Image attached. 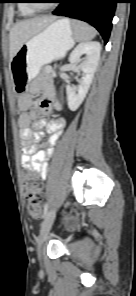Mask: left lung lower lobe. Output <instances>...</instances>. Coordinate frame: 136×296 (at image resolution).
Instances as JSON below:
<instances>
[{"instance_id": "obj_1", "label": "left lung lower lobe", "mask_w": 136, "mask_h": 296, "mask_svg": "<svg viewBox=\"0 0 136 296\" xmlns=\"http://www.w3.org/2000/svg\"><path fill=\"white\" fill-rule=\"evenodd\" d=\"M119 0H61L54 15L76 18L90 23L108 42L116 3Z\"/></svg>"}]
</instances>
